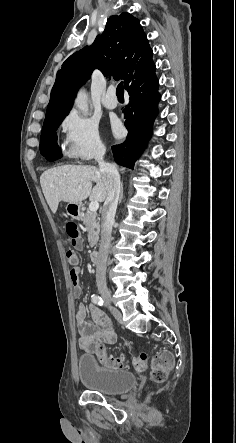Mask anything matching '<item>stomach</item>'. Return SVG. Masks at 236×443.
<instances>
[{
	"mask_svg": "<svg viewBox=\"0 0 236 443\" xmlns=\"http://www.w3.org/2000/svg\"><path fill=\"white\" fill-rule=\"evenodd\" d=\"M66 210L67 214L72 218H80L81 216V204L68 203Z\"/></svg>",
	"mask_w": 236,
	"mask_h": 443,
	"instance_id": "obj_1",
	"label": "stomach"
}]
</instances>
